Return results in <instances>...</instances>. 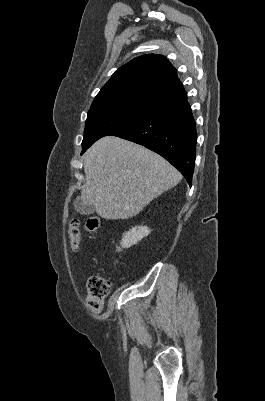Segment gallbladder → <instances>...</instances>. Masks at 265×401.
I'll return each mask as SVG.
<instances>
[{
	"label": "gallbladder",
	"mask_w": 265,
	"mask_h": 401,
	"mask_svg": "<svg viewBox=\"0 0 265 401\" xmlns=\"http://www.w3.org/2000/svg\"><path fill=\"white\" fill-rule=\"evenodd\" d=\"M74 209L80 215H93L95 211V205H85L83 203L81 196H76V201H74Z\"/></svg>",
	"instance_id": "gallbladder-1"
}]
</instances>
